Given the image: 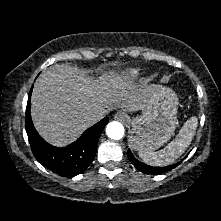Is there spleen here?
I'll return each mask as SVG.
<instances>
[{
	"label": "spleen",
	"mask_w": 221,
	"mask_h": 221,
	"mask_svg": "<svg viewBox=\"0 0 221 221\" xmlns=\"http://www.w3.org/2000/svg\"><path fill=\"white\" fill-rule=\"evenodd\" d=\"M198 120L191 117L185 122L178 135L165 148L158 152L139 151V157L148 165L165 166L178 159L190 145L197 128Z\"/></svg>",
	"instance_id": "1"
}]
</instances>
